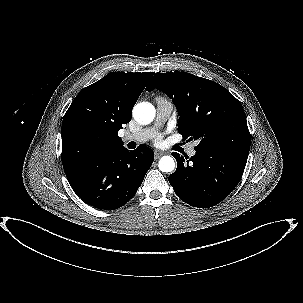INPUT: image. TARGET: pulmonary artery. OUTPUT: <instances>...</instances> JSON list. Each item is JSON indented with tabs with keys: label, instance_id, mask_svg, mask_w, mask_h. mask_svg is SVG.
Masks as SVG:
<instances>
[{
	"label": "pulmonary artery",
	"instance_id": "e3ab8cb5",
	"mask_svg": "<svg viewBox=\"0 0 303 303\" xmlns=\"http://www.w3.org/2000/svg\"><path fill=\"white\" fill-rule=\"evenodd\" d=\"M156 104H157V114H156V119H155V126L154 128H145L141 129L137 132L133 133H126L123 135L122 140L124 143H129V142H135V143H142L148 140L154 133V129L156 127H159L163 125L168 118L171 115V112L173 110V105L172 103L164 98H157L156 99ZM198 142H195L191 144L188 149H187V154L189 156H194L196 154L195 147L197 146Z\"/></svg>",
	"mask_w": 303,
	"mask_h": 303
}]
</instances>
